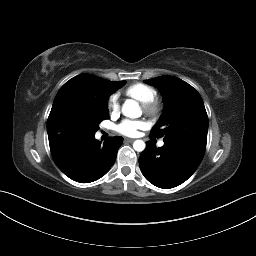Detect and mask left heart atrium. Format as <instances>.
I'll return each instance as SVG.
<instances>
[{
	"label": "left heart atrium",
	"instance_id": "1",
	"mask_svg": "<svg viewBox=\"0 0 256 256\" xmlns=\"http://www.w3.org/2000/svg\"><path fill=\"white\" fill-rule=\"evenodd\" d=\"M146 127V123L142 120L125 119L116 126V131L125 136H135L139 130Z\"/></svg>",
	"mask_w": 256,
	"mask_h": 256
}]
</instances>
